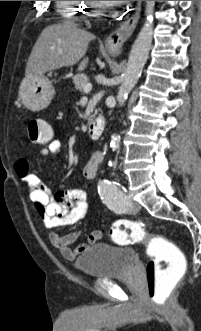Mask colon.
<instances>
[{
    "instance_id": "5ec220e1",
    "label": "colon",
    "mask_w": 201,
    "mask_h": 331,
    "mask_svg": "<svg viewBox=\"0 0 201 331\" xmlns=\"http://www.w3.org/2000/svg\"><path fill=\"white\" fill-rule=\"evenodd\" d=\"M27 128L32 144L51 142L53 131L47 121L33 118ZM110 234L113 241L120 245L147 244L150 256L146 265L147 295L157 306L167 307L186 270V260L179 248L165 237L150 233L142 224L130 220L115 222Z\"/></svg>"
}]
</instances>
